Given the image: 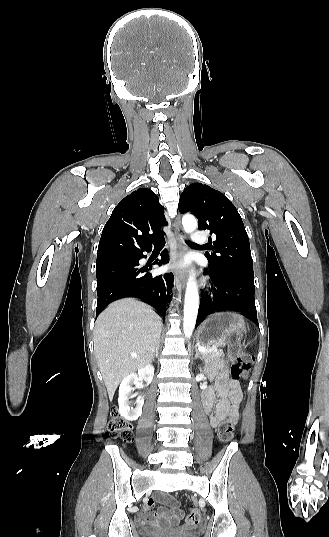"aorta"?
Here are the masks:
<instances>
[{"label":"aorta","mask_w":329,"mask_h":537,"mask_svg":"<svg viewBox=\"0 0 329 537\" xmlns=\"http://www.w3.org/2000/svg\"><path fill=\"white\" fill-rule=\"evenodd\" d=\"M182 225L186 232H193L197 228V221L194 216L185 215L182 218ZM199 309V293L197 282L194 275L191 274L188 278L184 299V318H183V333L186 338H190L196 323V318Z\"/></svg>","instance_id":"aorta-1"}]
</instances>
